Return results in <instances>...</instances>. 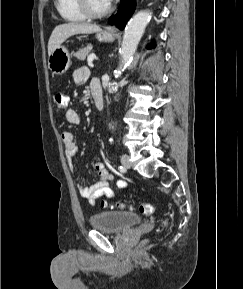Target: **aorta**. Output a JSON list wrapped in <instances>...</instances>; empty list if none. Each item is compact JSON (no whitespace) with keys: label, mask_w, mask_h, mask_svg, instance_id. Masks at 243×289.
Here are the masks:
<instances>
[{"label":"aorta","mask_w":243,"mask_h":289,"mask_svg":"<svg viewBox=\"0 0 243 289\" xmlns=\"http://www.w3.org/2000/svg\"><path fill=\"white\" fill-rule=\"evenodd\" d=\"M151 19L150 11L138 12L127 24L122 41V61L115 73H121L123 67L130 63L137 49L144 30Z\"/></svg>","instance_id":"obj_1"}]
</instances>
